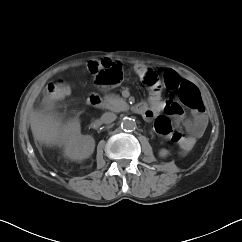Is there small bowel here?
Masks as SVG:
<instances>
[{
    "label": "small bowel",
    "mask_w": 242,
    "mask_h": 242,
    "mask_svg": "<svg viewBox=\"0 0 242 242\" xmlns=\"http://www.w3.org/2000/svg\"><path fill=\"white\" fill-rule=\"evenodd\" d=\"M103 64H115L119 67L121 65L118 62L110 61V60H104L102 61ZM135 71L138 73V75L142 78L148 71H151L147 69L146 67L142 65H136ZM167 73H172L176 77H178L180 80H183L182 77L172 70H167L165 72V75ZM164 75V79H165ZM152 102L153 104L151 106H147V111L142 115L146 120H151L155 114L159 110H164L165 113L171 118L173 129H174V135L176 137V142L179 144V148L182 152L189 151L194 143L195 138L202 132L206 125V117L201 112H195L192 114L191 117L185 118L183 114V110L181 106L173 101L169 102H162L159 96V93H154L152 96ZM185 129L188 134L183 133L182 130Z\"/></svg>",
    "instance_id": "1"
}]
</instances>
